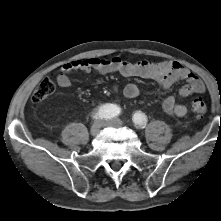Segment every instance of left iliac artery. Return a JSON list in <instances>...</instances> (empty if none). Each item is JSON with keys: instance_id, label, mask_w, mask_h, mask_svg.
<instances>
[{"instance_id": "44dca946", "label": "left iliac artery", "mask_w": 221, "mask_h": 221, "mask_svg": "<svg viewBox=\"0 0 221 221\" xmlns=\"http://www.w3.org/2000/svg\"><path fill=\"white\" fill-rule=\"evenodd\" d=\"M133 122L135 123V125L137 126V128H145L146 124H147V117L144 113L138 111L133 115L132 118Z\"/></svg>"}]
</instances>
